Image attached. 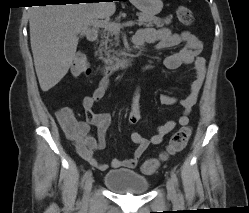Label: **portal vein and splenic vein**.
Here are the masks:
<instances>
[{"mask_svg": "<svg viewBox=\"0 0 249 213\" xmlns=\"http://www.w3.org/2000/svg\"><path fill=\"white\" fill-rule=\"evenodd\" d=\"M91 25H93V27L109 29V30L114 31L115 33H119L121 28L134 26L135 22L134 21H127V22L122 23V24H114V23L109 22L107 20H94L91 22Z\"/></svg>", "mask_w": 249, "mask_h": 213, "instance_id": "obj_1", "label": "portal vein and splenic vein"}]
</instances>
